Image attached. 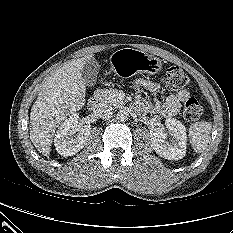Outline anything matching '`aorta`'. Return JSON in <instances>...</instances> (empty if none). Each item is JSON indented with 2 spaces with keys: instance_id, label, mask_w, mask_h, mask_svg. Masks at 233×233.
Wrapping results in <instances>:
<instances>
[{
  "instance_id": "762f6f07",
  "label": "aorta",
  "mask_w": 233,
  "mask_h": 233,
  "mask_svg": "<svg viewBox=\"0 0 233 233\" xmlns=\"http://www.w3.org/2000/svg\"><path fill=\"white\" fill-rule=\"evenodd\" d=\"M129 118V113L126 110H119L117 113V119L121 122L127 121Z\"/></svg>"
}]
</instances>
